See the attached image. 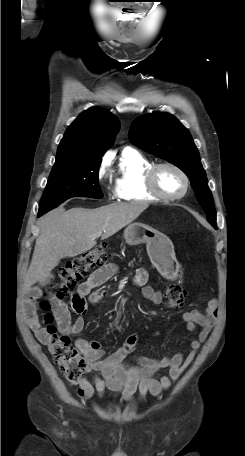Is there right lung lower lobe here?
Wrapping results in <instances>:
<instances>
[{
    "label": "right lung lower lobe",
    "instance_id": "1",
    "mask_svg": "<svg viewBox=\"0 0 245 456\" xmlns=\"http://www.w3.org/2000/svg\"><path fill=\"white\" fill-rule=\"evenodd\" d=\"M41 215H43V214H41V213H38V216H41Z\"/></svg>",
    "mask_w": 245,
    "mask_h": 456
}]
</instances>
